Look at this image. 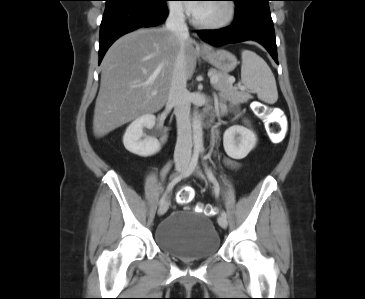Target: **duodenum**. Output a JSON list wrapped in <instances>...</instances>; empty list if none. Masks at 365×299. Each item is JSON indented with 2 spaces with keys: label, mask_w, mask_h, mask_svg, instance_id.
Here are the masks:
<instances>
[{
  "label": "duodenum",
  "mask_w": 365,
  "mask_h": 299,
  "mask_svg": "<svg viewBox=\"0 0 365 299\" xmlns=\"http://www.w3.org/2000/svg\"><path fill=\"white\" fill-rule=\"evenodd\" d=\"M210 117H211V115H210L209 113H205V114H203V120H204L205 122H208V121L210 120Z\"/></svg>",
  "instance_id": "duodenum-1"
}]
</instances>
